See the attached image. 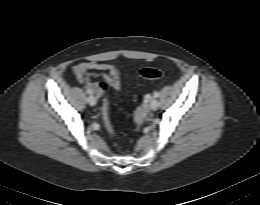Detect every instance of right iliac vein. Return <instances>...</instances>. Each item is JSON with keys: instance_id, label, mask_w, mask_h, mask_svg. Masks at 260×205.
<instances>
[{"instance_id": "1", "label": "right iliac vein", "mask_w": 260, "mask_h": 205, "mask_svg": "<svg viewBox=\"0 0 260 205\" xmlns=\"http://www.w3.org/2000/svg\"><path fill=\"white\" fill-rule=\"evenodd\" d=\"M87 102L90 106H94L96 105V98L93 96V95H90L88 98H87Z\"/></svg>"}]
</instances>
